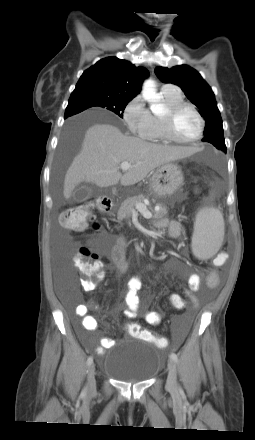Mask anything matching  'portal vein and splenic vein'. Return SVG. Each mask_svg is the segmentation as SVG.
Segmentation results:
<instances>
[{
	"label": "portal vein and splenic vein",
	"instance_id": "1",
	"mask_svg": "<svg viewBox=\"0 0 255 440\" xmlns=\"http://www.w3.org/2000/svg\"><path fill=\"white\" fill-rule=\"evenodd\" d=\"M132 165L128 162H122L120 164V168L124 171L130 169ZM136 209L138 212H140L144 218L150 219L152 217V213L147 209L146 205L143 203L136 204ZM133 213H136L135 210H133Z\"/></svg>",
	"mask_w": 255,
	"mask_h": 440
}]
</instances>
